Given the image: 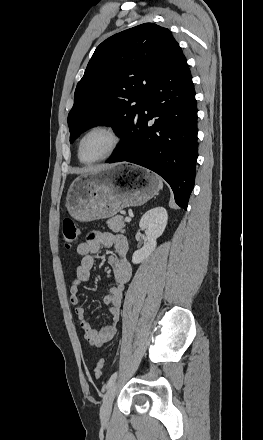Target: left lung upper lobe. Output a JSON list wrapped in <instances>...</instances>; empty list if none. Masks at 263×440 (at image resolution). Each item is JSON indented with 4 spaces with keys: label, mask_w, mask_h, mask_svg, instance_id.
Wrapping results in <instances>:
<instances>
[{
    "label": "left lung upper lobe",
    "mask_w": 263,
    "mask_h": 440,
    "mask_svg": "<svg viewBox=\"0 0 263 440\" xmlns=\"http://www.w3.org/2000/svg\"><path fill=\"white\" fill-rule=\"evenodd\" d=\"M175 43L167 28L153 23L103 41L75 90L68 115L70 142L95 125H107L122 138L117 148L125 144L147 92Z\"/></svg>",
    "instance_id": "5c2ea615"
}]
</instances>
